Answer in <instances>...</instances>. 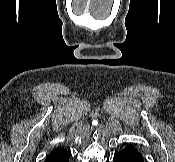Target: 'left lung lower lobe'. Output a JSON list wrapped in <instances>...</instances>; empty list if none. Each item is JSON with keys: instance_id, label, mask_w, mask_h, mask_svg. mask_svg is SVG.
<instances>
[{"instance_id": "0a47b994", "label": "left lung lower lobe", "mask_w": 175, "mask_h": 162, "mask_svg": "<svg viewBox=\"0 0 175 162\" xmlns=\"http://www.w3.org/2000/svg\"><path fill=\"white\" fill-rule=\"evenodd\" d=\"M113 162H143V157L133 145H128L114 156Z\"/></svg>"}]
</instances>
